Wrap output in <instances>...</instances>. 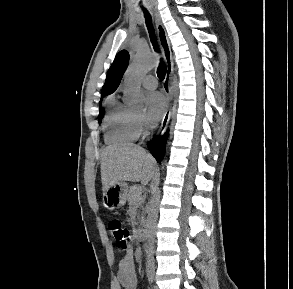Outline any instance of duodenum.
Here are the masks:
<instances>
[{
    "instance_id": "1",
    "label": "duodenum",
    "mask_w": 293,
    "mask_h": 289,
    "mask_svg": "<svg viewBox=\"0 0 293 289\" xmlns=\"http://www.w3.org/2000/svg\"><path fill=\"white\" fill-rule=\"evenodd\" d=\"M146 233H147V229L145 224H143L139 229L138 232L136 234V239L139 242H144L146 240Z\"/></svg>"
}]
</instances>
